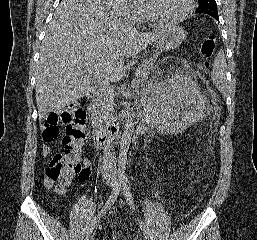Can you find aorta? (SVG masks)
Segmentation results:
<instances>
[{
  "label": "aorta",
  "instance_id": "1",
  "mask_svg": "<svg viewBox=\"0 0 257 240\" xmlns=\"http://www.w3.org/2000/svg\"><path fill=\"white\" fill-rule=\"evenodd\" d=\"M134 120L133 118L129 117L125 123L121 142H120V151L118 156V172L119 177L122 179L124 176V171L126 169L127 163V154L128 149L131 143L133 130H134Z\"/></svg>",
  "mask_w": 257,
  "mask_h": 240
}]
</instances>
